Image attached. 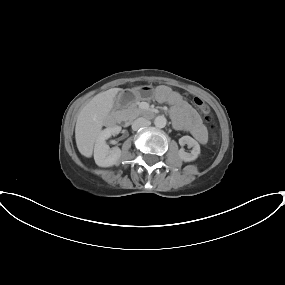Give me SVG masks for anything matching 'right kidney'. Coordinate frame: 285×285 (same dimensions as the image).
Here are the masks:
<instances>
[{
    "label": "right kidney",
    "mask_w": 285,
    "mask_h": 285,
    "mask_svg": "<svg viewBox=\"0 0 285 285\" xmlns=\"http://www.w3.org/2000/svg\"><path fill=\"white\" fill-rule=\"evenodd\" d=\"M121 127H108L101 131L96 139L94 146V160L100 167H110L117 164L121 158V150L119 148L110 149L106 144V140L112 135L119 134Z\"/></svg>",
    "instance_id": "1"
}]
</instances>
